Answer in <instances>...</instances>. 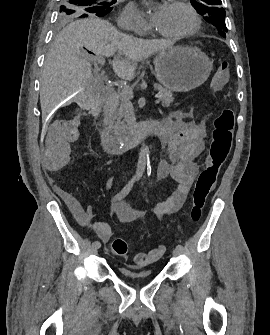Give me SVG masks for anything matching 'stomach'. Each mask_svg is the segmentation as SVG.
<instances>
[{"instance_id": "1", "label": "stomach", "mask_w": 270, "mask_h": 335, "mask_svg": "<svg viewBox=\"0 0 270 335\" xmlns=\"http://www.w3.org/2000/svg\"><path fill=\"white\" fill-rule=\"evenodd\" d=\"M156 78L171 92H190L206 82L213 62L199 48L175 46L158 52L154 58Z\"/></svg>"}]
</instances>
